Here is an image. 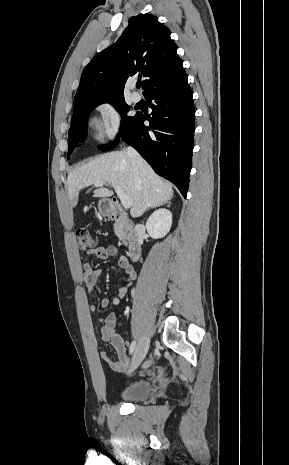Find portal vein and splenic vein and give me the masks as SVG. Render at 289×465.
I'll return each mask as SVG.
<instances>
[{"label":"portal vein and splenic vein","mask_w":289,"mask_h":465,"mask_svg":"<svg viewBox=\"0 0 289 465\" xmlns=\"http://www.w3.org/2000/svg\"><path fill=\"white\" fill-rule=\"evenodd\" d=\"M104 184H105V182H103V181H97V182H95L94 185L96 187H100V186H103ZM112 186L114 187L115 192L117 193V196L119 197L122 206L125 209L130 208L132 206L131 198H129L120 187L115 186V185H112Z\"/></svg>","instance_id":"1"}]
</instances>
